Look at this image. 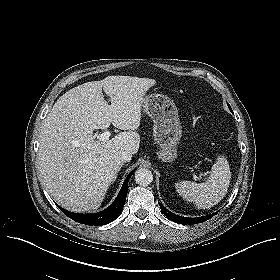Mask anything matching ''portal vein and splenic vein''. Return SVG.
Here are the masks:
<instances>
[{
  "instance_id": "obj_1",
  "label": "portal vein and splenic vein",
  "mask_w": 280,
  "mask_h": 280,
  "mask_svg": "<svg viewBox=\"0 0 280 280\" xmlns=\"http://www.w3.org/2000/svg\"><path fill=\"white\" fill-rule=\"evenodd\" d=\"M110 136H111L110 131H105L102 134L96 135L97 139L100 141H107V140H109ZM194 178H197V177L194 175Z\"/></svg>"
}]
</instances>
